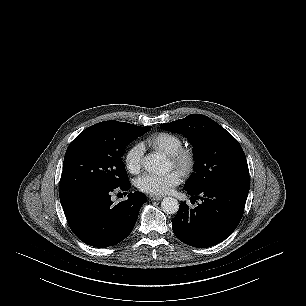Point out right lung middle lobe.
<instances>
[{"label":"right lung middle lobe","instance_id":"obj_1","mask_svg":"<svg viewBox=\"0 0 306 306\" xmlns=\"http://www.w3.org/2000/svg\"><path fill=\"white\" fill-rule=\"evenodd\" d=\"M150 129L111 120L82 131L65 154L60 199L89 188H118L129 182L122 161L124 149Z\"/></svg>","mask_w":306,"mask_h":306}]
</instances>
